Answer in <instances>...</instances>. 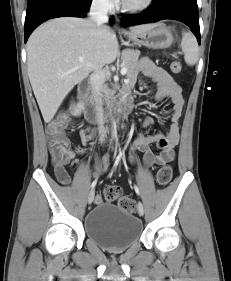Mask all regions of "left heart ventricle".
I'll return each instance as SVG.
<instances>
[{
    "mask_svg": "<svg viewBox=\"0 0 231 281\" xmlns=\"http://www.w3.org/2000/svg\"><path fill=\"white\" fill-rule=\"evenodd\" d=\"M143 0H125L126 3L128 4H138Z\"/></svg>",
    "mask_w": 231,
    "mask_h": 281,
    "instance_id": "b2bd125f",
    "label": "left heart ventricle"
}]
</instances>
